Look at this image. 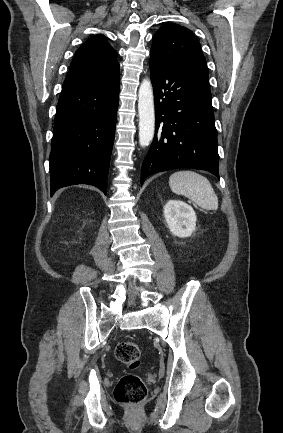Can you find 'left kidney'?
I'll use <instances>...</instances> for the list:
<instances>
[{
	"label": "left kidney",
	"mask_w": 283,
	"mask_h": 433,
	"mask_svg": "<svg viewBox=\"0 0 283 433\" xmlns=\"http://www.w3.org/2000/svg\"><path fill=\"white\" fill-rule=\"evenodd\" d=\"M164 217L170 232L177 237H189L196 228L195 211L183 201L169 200L164 206Z\"/></svg>",
	"instance_id": "5707ae66"
}]
</instances>
